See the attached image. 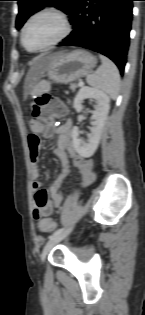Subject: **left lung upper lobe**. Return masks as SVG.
Instances as JSON below:
<instances>
[{"label":"left lung upper lobe","instance_id":"5c2ea615","mask_svg":"<svg viewBox=\"0 0 145 315\" xmlns=\"http://www.w3.org/2000/svg\"><path fill=\"white\" fill-rule=\"evenodd\" d=\"M19 13L16 19V28L20 29L29 16L46 6H53L71 15L78 0H16Z\"/></svg>","mask_w":145,"mask_h":315}]
</instances>
